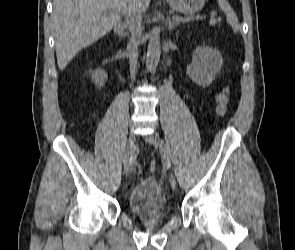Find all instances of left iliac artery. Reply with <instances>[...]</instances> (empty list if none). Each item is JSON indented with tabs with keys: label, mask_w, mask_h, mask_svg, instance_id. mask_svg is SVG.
I'll use <instances>...</instances> for the list:
<instances>
[{
	"label": "left iliac artery",
	"mask_w": 295,
	"mask_h": 250,
	"mask_svg": "<svg viewBox=\"0 0 295 250\" xmlns=\"http://www.w3.org/2000/svg\"><path fill=\"white\" fill-rule=\"evenodd\" d=\"M159 146H160V151H161V155H162V158H163L164 165L168 169H170L171 168V162H170V160L165 159V156H166V153H167V148H166V145H165L163 139H161V138H159Z\"/></svg>",
	"instance_id": "left-iliac-artery-1"
}]
</instances>
